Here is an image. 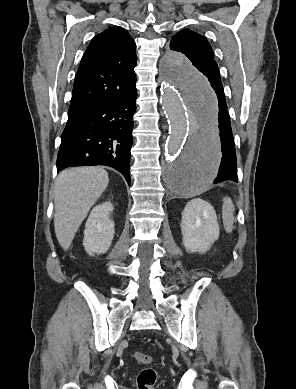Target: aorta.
I'll list each match as a JSON object with an SVG mask.
<instances>
[{
  "instance_id": "aorta-1",
  "label": "aorta",
  "mask_w": 296,
  "mask_h": 389,
  "mask_svg": "<svg viewBox=\"0 0 296 389\" xmlns=\"http://www.w3.org/2000/svg\"><path fill=\"white\" fill-rule=\"evenodd\" d=\"M160 72L162 106L169 123L166 187L194 196L209 189L220 165L217 91L180 53L168 52Z\"/></svg>"
}]
</instances>
